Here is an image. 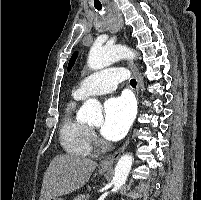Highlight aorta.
<instances>
[{"label":"aorta","instance_id":"obj_1","mask_svg":"<svg viewBox=\"0 0 201 200\" xmlns=\"http://www.w3.org/2000/svg\"><path fill=\"white\" fill-rule=\"evenodd\" d=\"M134 57L135 53L123 45L107 47L95 42L90 48L87 64L91 69L98 70L120 59ZM81 113L88 122L95 124L102 122L100 104L96 99H88L82 106ZM132 161L133 157L130 153L122 155L118 160L113 177L114 192L126 182L132 167Z\"/></svg>","mask_w":201,"mask_h":200}]
</instances>
